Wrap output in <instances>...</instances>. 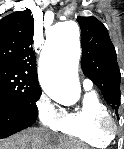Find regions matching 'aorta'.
<instances>
[{"instance_id":"aorta-1","label":"aorta","mask_w":124,"mask_h":149,"mask_svg":"<svg viewBox=\"0 0 124 149\" xmlns=\"http://www.w3.org/2000/svg\"><path fill=\"white\" fill-rule=\"evenodd\" d=\"M79 37V26L75 21L56 24L40 58L39 81L43 91L66 105L76 103L81 92Z\"/></svg>"}]
</instances>
